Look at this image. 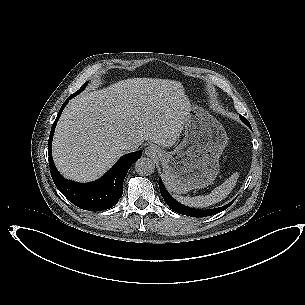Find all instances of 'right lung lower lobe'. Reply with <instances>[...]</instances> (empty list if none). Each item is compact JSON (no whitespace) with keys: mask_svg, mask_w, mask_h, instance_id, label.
<instances>
[{"mask_svg":"<svg viewBox=\"0 0 305 305\" xmlns=\"http://www.w3.org/2000/svg\"><path fill=\"white\" fill-rule=\"evenodd\" d=\"M70 96L62 105L56 120L51 128L48 155L50 172L56 187L74 205L89 211H101L113 207L123 193V181L130 166L139 158L141 151L133 152L122 156L116 164L100 179L90 183H76L63 178L56 169L52 154L51 143L56 127V123L68 103Z\"/></svg>","mask_w":305,"mask_h":305,"instance_id":"1","label":"right lung lower lobe"}]
</instances>
